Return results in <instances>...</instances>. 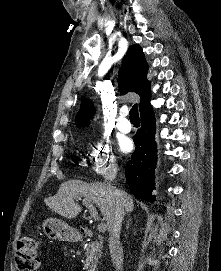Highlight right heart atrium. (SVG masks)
<instances>
[{
	"label": "right heart atrium",
	"instance_id": "d8ad5b80",
	"mask_svg": "<svg viewBox=\"0 0 221 271\" xmlns=\"http://www.w3.org/2000/svg\"><path fill=\"white\" fill-rule=\"evenodd\" d=\"M94 156L102 157H90L88 160L91 162L92 170H102L103 167L107 166V158L110 156L108 146H97V151L92 153Z\"/></svg>",
	"mask_w": 221,
	"mask_h": 271
}]
</instances>
